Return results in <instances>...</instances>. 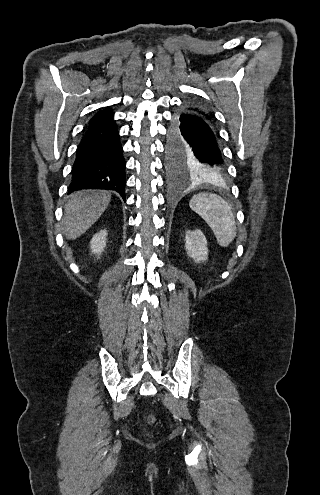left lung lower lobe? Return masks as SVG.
Listing matches in <instances>:
<instances>
[{"mask_svg": "<svg viewBox=\"0 0 320 495\" xmlns=\"http://www.w3.org/2000/svg\"><path fill=\"white\" fill-rule=\"evenodd\" d=\"M175 123L178 124L182 134L191 145L198 150L201 160L209 170L208 176L224 175L227 172V165L212 120L207 116L184 109L173 117L170 131Z\"/></svg>", "mask_w": 320, "mask_h": 495, "instance_id": "0a47b994", "label": "left lung lower lobe"}]
</instances>
